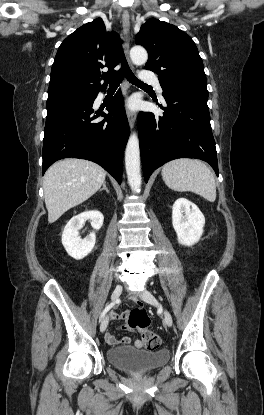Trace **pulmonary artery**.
Wrapping results in <instances>:
<instances>
[{"instance_id": "pulmonary-artery-1", "label": "pulmonary artery", "mask_w": 264, "mask_h": 415, "mask_svg": "<svg viewBox=\"0 0 264 415\" xmlns=\"http://www.w3.org/2000/svg\"><path fill=\"white\" fill-rule=\"evenodd\" d=\"M140 78H141V81H142L143 83L154 84V85L156 86V88H157L158 93H159V94L161 95V97H162V92H163V90H162V88H161V86H160L159 81L157 80V78H156L155 76H153V75H151V74H148V73H142V74L140 75Z\"/></svg>"}]
</instances>
